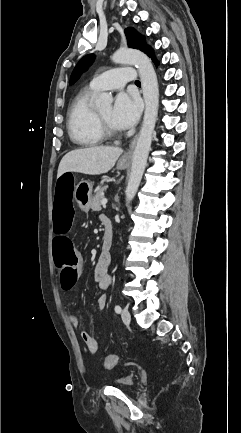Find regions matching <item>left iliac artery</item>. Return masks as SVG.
<instances>
[{
    "label": "left iliac artery",
    "instance_id": "1",
    "mask_svg": "<svg viewBox=\"0 0 241 433\" xmlns=\"http://www.w3.org/2000/svg\"><path fill=\"white\" fill-rule=\"evenodd\" d=\"M115 312L118 314L121 313V307L119 305L115 306Z\"/></svg>",
    "mask_w": 241,
    "mask_h": 433
}]
</instances>
